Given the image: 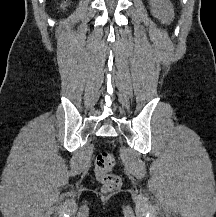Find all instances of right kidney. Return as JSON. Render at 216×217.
<instances>
[{
    "instance_id": "ca27d5eb",
    "label": "right kidney",
    "mask_w": 216,
    "mask_h": 217,
    "mask_svg": "<svg viewBox=\"0 0 216 217\" xmlns=\"http://www.w3.org/2000/svg\"><path fill=\"white\" fill-rule=\"evenodd\" d=\"M66 6H67V5H66V2H65L64 4L61 5V8L64 9Z\"/></svg>"
}]
</instances>
